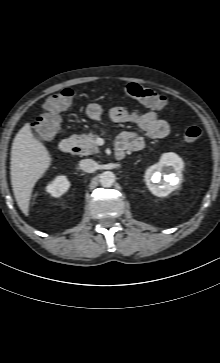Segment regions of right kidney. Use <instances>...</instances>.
I'll return each mask as SVG.
<instances>
[{
	"mask_svg": "<svg viewBox=\"0 0 220 363\" xmlns=\"http://www.w3.org/2000/svg\"><path fill=\"white\" fill-rule=\"evenodd\" d=\"M69 187L70 182L67 180L66 176H58L47 185L46 191L53 197H60L69 189Z\"/></svg>",
	"mask_w": 220,
	"mask_h": 363,
	"instance_id": "1",
	"label": "right kidney"
}]
</instances>
